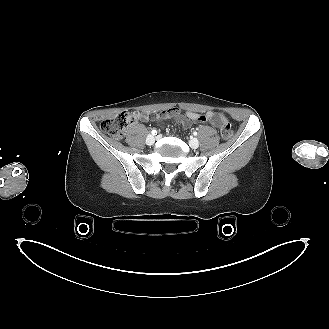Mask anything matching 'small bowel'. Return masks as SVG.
I'll list each match as a JSON object with an SVG mask.
<instances>
[{"mask_svg":"<svg viewBox=\"0 0 329 329\" xmlns=\"http://www.w3.org/2000/svg\"><path fill=\"white\" fill-rule=\"evenodd\" d=\"M135 115L137 119H141L143 121L148 119V116L143 113L136 112ZM154 116L159 118L162 117V119H175L184 128L191 127L195 122L210 123L213 126H218L220 123L227 121V118L223 114L217 112L208 111L198 114L195 112L180 110L179 108H170L160 112H155Z\"/></svg>","mask_w":329,"mask_h":329,"instance_id":"c3829d8e","label":"small bowel"}]
</instances>
